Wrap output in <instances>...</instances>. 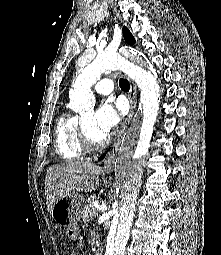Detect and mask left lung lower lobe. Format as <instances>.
I'll return each mask as SVG.
<instances>
[{
    "mask_svg": "<svg viewBox=\"0 0 221 255\" xmlns=\"http://www.w3.org/2000/svg\"><path fill=\"white\" fill-rule=\"evenodd\" d=\"M105 157V155H102L98 160H102Z\"/></svg>",
    "mask_w": 221,
    "mask_h": 255,
    "instance_id": "left-lung-lower-lobe-1",
    "label": "left lung lower lobe"
}]
</instances>
